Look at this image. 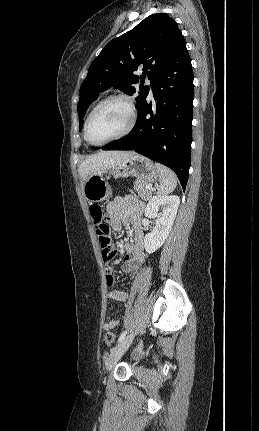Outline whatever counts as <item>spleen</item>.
I'll return each mask as SVG.
<instances>
[{"label": "spleen", "instance_id": "1", "mask_svg": "<svg viewBox=\"0 0 259 431\" xmlns=\"http://www.w3.org/2000/svg\"><path fill=\"white\" fill-rule=\"evenodd\" d=\"M155 167L158 171L160 181L158 194L167 195L173 192L177 186V177L175 173L171 169L159 163H155Z\"/></svg>", "mask_w": 259, "mask_h": 431}]
</instances>
